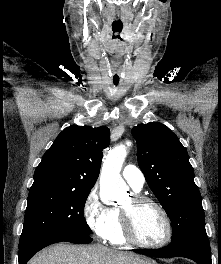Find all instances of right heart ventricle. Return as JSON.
Returning a JSON list of instances; mask_svg holds the SVG:
<instances>
[{
  "label": "right heart ventricle",
  "mask_w": 221,
  "mask_h": 264,
  "mask_svg": "<svg viewBox=\"0 0 221 264\" xmlns=\"http://www.w3.org/2000/svg\"><path fill=\"white\" fill-rule=\"evenodd\" d=\"M138 192V191H136ZM114 212V222L112 229L107 237L110 243L114 245H124L127 243L126 239L124 238L121 226V219H120V212L117 208L113 209Z\"/></svg>",
  "instance_id": "right-heart-ventricle-1"
}]
</instances>
